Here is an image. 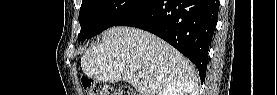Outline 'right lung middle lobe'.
<instances>
[{"mask_svg": "<svg viewBox=\"0 0 277 95\" xmlns=\"http://www.w3.org/2000/svg\"><path fill=\"white\" fill-rule=\"evenodd\" d=\"M143 0H82L79 12L81 31L78 38L86 40L103 30L116 26Z\"/></svg>", "mask_w": 277, "mask_h": 95, "instance_id": "right-lung-middle-lobe-1", "label": "right lung middle lobe"}]
</instances>
